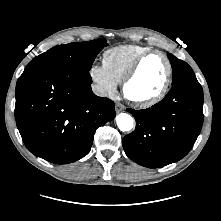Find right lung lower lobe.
<instances>
[{"instance_id": "obj_1", "label": "right lung lower lobe", "mask_w": 221, "mask_h": 221, "mask_svg": "<svg viewBox=\"0 0 221 221\" xmlns=\"http://www.w3.org/2000/svg\"><path fill=\"white\" fill-rule=\"evenodd\" d=\"M89 71L57 64L26 66L16 85V124L28 150L67 164L90 151L98 127L114 119V102L96 96Z\"/></svg>"}]
</instances>
